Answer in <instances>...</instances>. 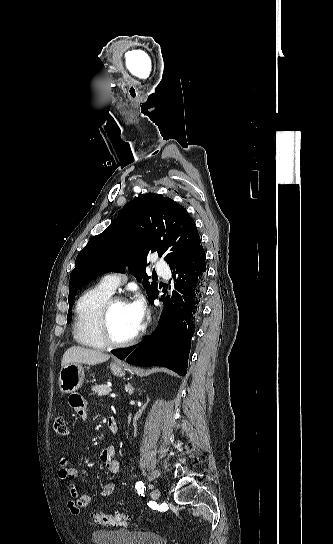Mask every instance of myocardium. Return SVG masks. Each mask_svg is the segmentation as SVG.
I'll return each mask as SVG.
<instances>
[{
    "mask_svg": "<svg viewBox=\"0 0 333 544\" xmlns=\"http://www.w3.org/2000/svg\"><path fill=\"white\" fill-rule=\"evenodd\" d=\"M119 303H127L122 296H111L103 305L99 315V333L103 342L110 347H125L133 344L141 335V328L130 338L125 340H117L113 337L110 330V314L113 307Z\"/></svg>",
    "mask_w": 333,
    "mask_h": 544,
    "instance_id": "obj_1",
    "label": "myocardium"
}]
</instances>
